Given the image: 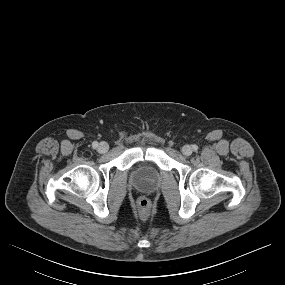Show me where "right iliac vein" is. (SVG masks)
Segmentation results:
<instances>
[{"label": "right iliac vein", "instance_id": "right-iliac-vein-1", "mask_svg": "<svg viewBox=\"0 0 285 285\" xmlns=\"http://www.w3.org/2000/svg\"><path fill=\"white\" fill-rule=\"evenodd\" d=\"M109 149V145L107 142H101L99 145H98V152L99 153H106Z\"/></svg>", "mask_w": 285, "mask_h": 285}]
</instances>
